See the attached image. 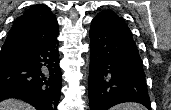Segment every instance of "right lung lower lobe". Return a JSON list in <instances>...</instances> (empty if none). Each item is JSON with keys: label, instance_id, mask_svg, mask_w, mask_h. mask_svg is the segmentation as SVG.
Returning a JSON list of instances; mask_svg holds the SVG:
<instances>
[{"label": "right lung lower lobe", "instance_id": "98d812e1", "mask_svg": "<svg viewBox=\"0 0 171 110\" xmlns=\"http://www.w3.org/2000/svg\"><path fill=\"white\" fill-rule=\"evenodd\" d=\"M57 36L24 53V60L0 70V101L19 98L37 110H57L62 86Z\"/></svg>", "mask_w": 171, "mask_h": 110}]
</instances>
